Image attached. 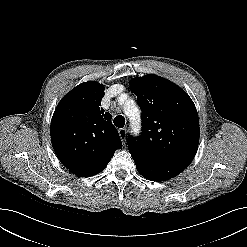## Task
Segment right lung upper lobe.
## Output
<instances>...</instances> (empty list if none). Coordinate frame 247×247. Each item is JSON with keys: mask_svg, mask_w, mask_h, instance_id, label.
<instances>
[{"mask_svg": "<svg viewBox=\"0 0 247 247\" xmlns=\"http://www.w3.org/2000/svg\"><path fill=\"white\" fill-rule=\"evenodd\" d=\"M104 86L84 82L59 102L51 120V142L62 164L76 175L106 166L122 147L111 114L101 100Z\"/></svg>", "mask_w": 247, "mask_h": 247, "instance_id": "obj_1", "label": "right lung upper lobe"}]
</instances>
